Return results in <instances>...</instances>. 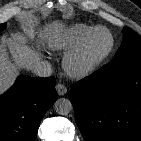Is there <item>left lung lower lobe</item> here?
<instances>
[{"label":"left lung lower lobe","mask_w":141,"mask_h":141,"mask_svg":"<svg viewBox=\"0 0 141 141\" xmlns=\"http://www.w3.org/2000/svg\"><path fill=\"white\" fill-rule=\"evenodd\" d=\"M69 98L86 141H141V56L103 66Z\"/></svg>","instance_id":"obj_1"}]
</instances>
